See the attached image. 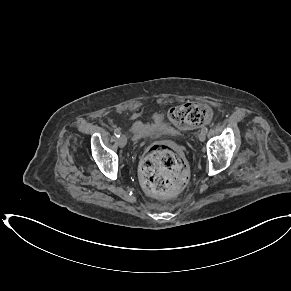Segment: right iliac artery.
I'll return each mask as SVG.
<instances>
[{
  "label": "right iliac artery",
  "instance_id": "1",
  "mask_svg": "<svg viewBox=\"0 0 291 291\" xmlns=\"http://www.w3.org/2000/svg\"><path fill=\"white\" fill-rule=\"evenodd\" d=\"M114 134H115L116 137H120V135H121V131H120V129H119V128H116V129L114 130Z\"/></svg>",
  "mask_w": 291,
  "mask_h": 291
}]
</instances>
